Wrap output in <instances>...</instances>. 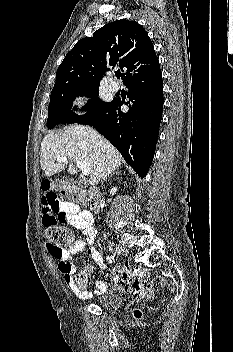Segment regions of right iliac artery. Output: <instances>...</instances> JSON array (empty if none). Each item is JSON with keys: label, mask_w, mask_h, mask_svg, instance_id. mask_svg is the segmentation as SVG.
Instances as JSON below:
<instances>
[{"label": "right iliac artery", "mask_w": 233, "mask_h": 352, "mask_svg": "<svg viewBox=\"0 0 233 352\" xmlns=\"http://www.w3.org/2000/svg\"><path fill=\"white\" fill-rule=\"evenodd\" d=\"M114 256L113 255H109V256H107V261L109 262V263H112L113 261H114Z\"/></svg>", "instance_id": "right-iliac-artery-1"}]
</instances>
